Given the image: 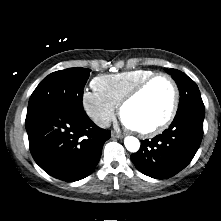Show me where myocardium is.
Listing matches in <instances>:
<instances>
[{"label":"myocardium","mask_w":221,"mask_h":221,"mask_svg":"<svg viewBox=\"0 0 221 221\" xmlns=\"http://www.w3.org/2000/svg\"><path fill=\"white\" fill-rule=\"evenodd\" d=\"M163 78L168 81V83L171 86L173 97H172V103L169 109V112L167 116L156 126L145 129V130H139V129H134L133 130L140 135L141 137H153L156 136L160 133H162L168 126L172 123V121L175 118V115L178 110L179 106V99H180V94H179V89L178 86L173 79V77L167 73L159 72V73H154L153 75L147 77L143 81H141L139 84H137L130 92H128L124 98L121 100L119 104V113L120 116L123 117V111L125 107L134 101L138 96L142 94V92L155 80Z\"/></svg>","instance_id":"obj_1"}]
</instances>
